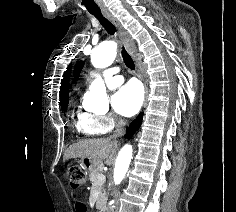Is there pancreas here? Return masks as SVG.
Returning <instances> with one entry per match:
<instances>
[{"instance_id": "1", "label": "pancreas", "mask_w": 236, "mask_h": 212, "mask_svg": "<svg viewBox=\"0 0 236 212\" xmlns=\"http://www.w3.org/2000/svg\"><path fill=\"white\" fill-rule=\"evenodd\" d=\"M101 173H102V170L100 168H96L90 173L89 179L92 185L96 186L99 191V198H98L96 207L97 209L103 210L106 205L107 194L103 186L104 181L98 182V176L101 175Z\"/></svg>"}]
</instances>
